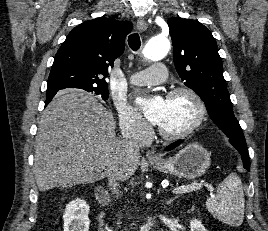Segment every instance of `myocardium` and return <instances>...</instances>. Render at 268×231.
Wrapping results in <instances>:
<instances>
[{"instance_id":"f54148a6","label":"myocardium","mask_w":268,"mask_h":231,"mask_svg":"<svg viewBox=\"0 0 268 231\" xmlns=\"http://www.w3.org/2000/svg\"><path fill=\"white\" fill-rule=\"evenodd\" d=\"M181 95L187 96L194 102L195 107H196V115H195L193 122L188 127H186L185 129L179 132H174V133L166 132L162 128L157 126L156 131L158 135L166 140H179V139L188 137L194 131H196L205 120V117H206L205 103L203 99L200 97V95L197 92H195L193 89L188 88V87L175 88L167 94L166 99L178 97Z\"/></svg>"}]
</instances>
